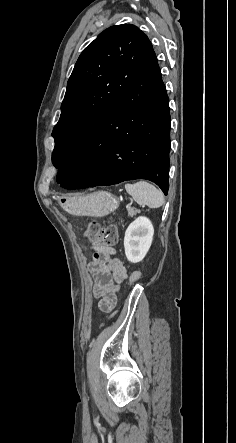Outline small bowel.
Masks as SVG:
<instances>
[{
	"mask_svg": "<svg viewBox=\"0 0 236 443\" xmlns=\"http://www.w3.org/2000/svg\"><path fill=\"white\" fill-rule=\"evenodd\" d=\"M94 249L93 261L89 264L96 280L94 295L99 299V308L110 312L116 305L118 284L127 279V269L121 260L113 256V248L100 245Z\"/></svg>",
	"mask_w": 236,
	"mask_h": 443,
	"instance_id": "obj_1",
	"label": "small bowel"
}]
</instances>
